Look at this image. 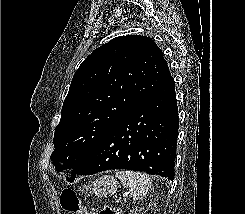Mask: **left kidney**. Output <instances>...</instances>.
Instances as JSON below:
<instances>
[{"label":"left kidney","mask_w":245,"mask_h":214,"mask_svg":"<svg viewBox=\"0 0 245 214\" xmlns=\"http://www.w3.org/2000/svg\"><path fill=\"white\" fill-rule=\"evenodd\" d=\"M130 214H139V213H137V212H132V213H130Z\"/></svg>","instance_id":"5707ae66"}]
</instances>
